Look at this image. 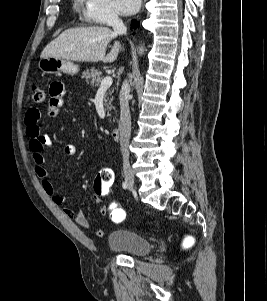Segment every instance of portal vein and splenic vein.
Instances as JSON below:
<instances>
[{"label":"portal vein and splenic vein","instance_id":"1","mask_svg":"<svg viewBox=\"0 0 267 301\" xmlns=\"http://www.w3.org/2000/svg\"><path fill=\"white\" fill-rule=\"evenodd\" d=\"M113 79L110 76H106L100 84L99 90L101 89H107L112 85Z\"/></svg>","mask_w":267,"mask_h":301}]
</instances>
